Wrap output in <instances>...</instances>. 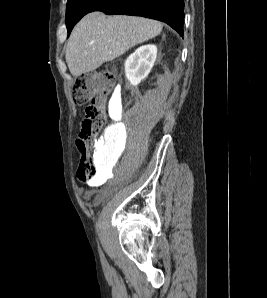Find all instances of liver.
Masks as SVG:
<instances>
[{
	"label": "liver",
	"mask_w": 267,
	"mask_h": 298,
	"mask_svg": "<svg viewBox=\"0 0 267 298\" xmlns=\"http://www.w3.org/2000/svg\"><path fill=\"white\" fill-rule=\"evenodd\" d=\"M162 24L142 17L107 16L96 11L84 16L74 27L66 49L71 74L79 77L130 48L159 35Z\"/></svg>",
	"instance_id": "obj_1"
}]
</instances>
